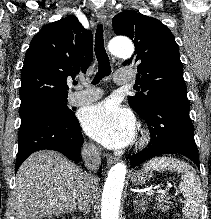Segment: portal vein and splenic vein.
Masks as SVG:
<instances>
[{"instance_id":"portal-vein-and-splenic-vein-1","label":"portal vein and splenic vein","mask_w":211,"mask_h":219,"mask_svg":"<svg viewBox=\"0 0 211 219\" xmlns=\"http://www.w3.org/2000/svg\"><path fill=\"white\" fill-rule=\"evenodd\" d=\"M155 192L165 193V191H159V190L151 189V190L148 191V194L151 195V194H153V193H155Z\"/></svg>"}]
</instances>
